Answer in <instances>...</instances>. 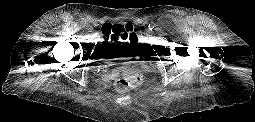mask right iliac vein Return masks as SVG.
<instances>
[{
	"label": "right iliac vein",
	"mask_w": 255,
	"mask_h": 122,
	"mask_svg": "<svg viewBox=\"0 0 255 122\" xmlns=\"http://www.w3.org/2000/svg\"><path fill=\"white\" fill-rule=\"evenodd\" d=\"M93 35H96V33L93 31V29H91L90 31Z\"/></svg>",
	"instance_id": "1"
}]
</instances>
